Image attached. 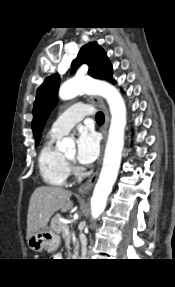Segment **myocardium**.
<instances>
[{"label":"myocardium","mask_w":175,"mask_h":287,"mask_svg":"<svg viewBox=\"0 0 175 287\" xmlns=\"http://www.w3.org/2000/svg\"><path fill=\"white\" fill-rule=\"evenodd\" d=\"M66 161L69 162V163H72L73 159H70L68 157H65Z\"/></svg>","instance_id":"obj_1"}]
</instances>
